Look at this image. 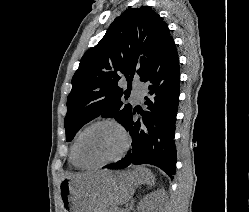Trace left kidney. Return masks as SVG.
Listing matches in <instances>:
<instances>
[{
    "mask_svg": "<svg viewBox=\"0 0 249 212\" xmlns=\"http://www.w3.org/2000/svg\"><path fill=\"white\" fill-rule=\"evenodd\" d=\"M140 212H142V208H140Z\"/></svg>",
    "mask_w": 249,
    "mask_h": 212,
    "instance_id": "1",
    "label": "left kidney"
}]
</instances>
